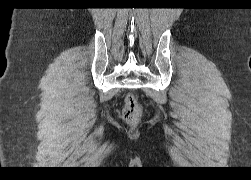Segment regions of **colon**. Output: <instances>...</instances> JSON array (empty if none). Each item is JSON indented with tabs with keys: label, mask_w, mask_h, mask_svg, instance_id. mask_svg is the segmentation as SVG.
Masks as SVG:
<instances>
[{
	"label": "colon",
	"mask_w": 251,
	"mask_h": 180,
	"mask_svg": "<svg viewBox=\"0 0 251 180\" xmlns=\"http://www.w3.org/2000/svg\"><path fill=\"white\" fill-rule=\"evenodd\" d=\"M141 117V105L138 99L129 94L125 98V104L123 108V118L129 124H136Z\"/></svg>",
	"instance_id": "1"
}]
</instances>
